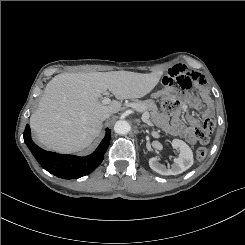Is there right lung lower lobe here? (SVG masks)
<instances>
[{
	"mask_svg": "<svg viewBox=\"0 0 245 245\" xmlns=\"http://www.w3.org/2000/svg\"><path fill=\"white\" fill-rule=\"evenodd\" d=\"M23 137L33 156L45 170L59 178L77 179L91 173L103 161V155L110 143L111 130L107 129L99 147L86 157L58 154L41 149L32 141L29 125H26Z\"/></svg>",
	"mask_w": 245,
	"mask_h": 245,
	"instance_id": "right-lung-lower-lobe-1",
	"label": "right lung lower lobe"
}]
</instances>
